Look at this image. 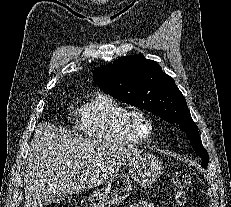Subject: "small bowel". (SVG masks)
Returning <instances> with one entry per match:
<instances>
[{"label":"small bowel","mask_w":231,"mask_h":207,"mask_svg":"<svg viewBox=\"0 0 231 207\" xmlns=\"http://www.w3.org/2000/svg\"><path fill=\"white\" fill-rule=\"evenodd\" d=\"M129 207H155V205L150 201H142V202L134 203Z\"/></svg>","instance_id":"obj_1"}]
</instances>
